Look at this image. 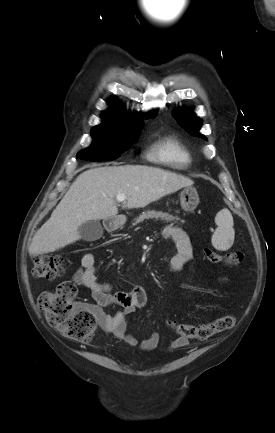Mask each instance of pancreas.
Instances as JSON below:
<instances>
[{
	"instance_id": "1",
	"label": "pancreas",
	"mask_w": 275,
	"mask_h": 433,
	"mask_svg": "<svg viewBox=\"0 0 275 433\" xmlns=\"http://www.w3.org/2000/svg\"><path fill=\"white\" fill-rule=\"evenodd\" d=\"M152 218H155L157 220L160 219L164 222H175V223L181 220L178 216H173L166 212L163 213V212L152 210V211L143 212L139 217H137L134 220V223L132 225L135 226L138 223L143 222L145 219H152Z\"/></svg>"
}]
</instances>
